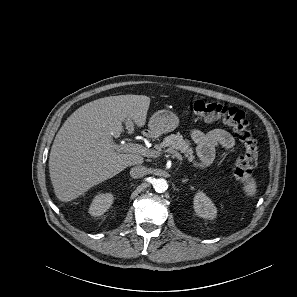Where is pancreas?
<instances>
[{
  "label": "pancreas",
  "instance_id": "pancreas-1",
  "mask_svg": "<svg viewBox=\"0 0 297 297\" xmlns=\"http://www.w3.org/2000/svg\"><path fill=\"white\" fill-rule=\"evenodd\" d=\"M167 148V151L170 153H177L180 151L185 154L188 161L193 164L194 167L202 168L203 166L196 162L193 148L190 146V142L187 139H184L180 133L171 134L164 138L163 142L156 147V154L162 153V148Z\"/></svg>",
  "mask_w": 297,
  "mask_h": 297
}]
</instances>
